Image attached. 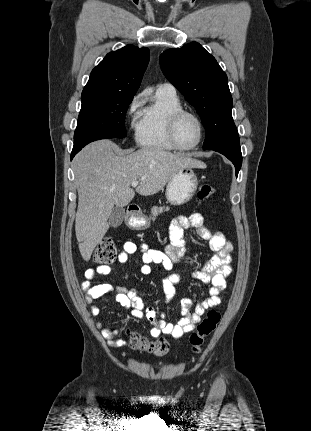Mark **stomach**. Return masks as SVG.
Segmentation results:
<instances>
[{"instance_id": "obj_1", "label": "stomach", "mask_w": 311, "mask_h": 431, "mask_svg": "<svg viewBox=\"0 0 311 431\" xmlns=\"http://www.w3.org/2000/svg\"><path fill=\"white\" fill-rule=\"evenodd\" d=\"M198 184L199 180L193 168H182L166 186L165 196L168 204L171 206L187 204L195 196ZM126 225L130 229H147L150 227V219L145 214L129 216L126 217Z\"/></svg>"}]
</instances>
